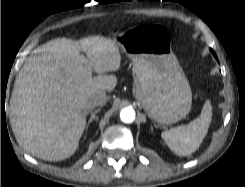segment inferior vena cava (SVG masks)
<instances>
[{
	"label": "inferior vena cava",
	"mask_w": 245,
	"mask_h": 187,
	"mask_svg": "<svg viewBox=\"0 0 245 187\" xmlns=\"http://www.w3.org/2000/svg\"><path fill=\"white\" fill-rule=\"evenodd\" d=\"M108 97L104 91L93 93L87 102L88 107L103 106L106 104Z\"/></svg>",
	"instance_id": "obj_1"
}]
</instances>
